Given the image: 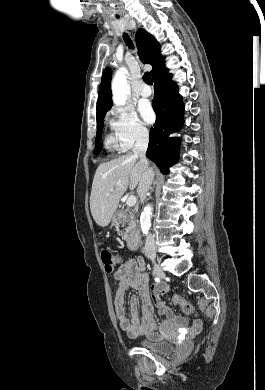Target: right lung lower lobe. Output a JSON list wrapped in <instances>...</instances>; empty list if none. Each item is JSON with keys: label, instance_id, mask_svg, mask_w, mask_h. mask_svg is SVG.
<instances>
[{"label": "right lung lower lobe", "instance_id": "obj_1", "mask_svg": "<svg viewBox=\"0 0 265 390\" xmlns=\"http://www.w3.org/2000/svg\"><path fill=\"white\" fill-rule=\"evenodd\" d=\"M168 69L162 70L154 79L153 109L156 122L150 130L149 147L146 156L152 160L163 174L178 159L179 139L169 137L183 124L184 105L178 93V86L171 80Z\"/></svg>", "mask_w": 265, "mask_h": 390}]
</instances>
